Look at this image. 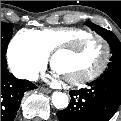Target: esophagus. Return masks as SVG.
<instances>
[{
    "label": "esophagus",
    "mask_w": 121,
    "mask_h": 121,
    "mask_svg": "<svg viewBox=\"0 0 121 121\" xmlns=\"http://www.w3.org/2000/svg\"><path fill=\"white\" fill-rule=\"evenodd\" d=\"M42 92H44V93H51V90L50 89H47V88H43V87H40L39 88Z\"/></svg>",
    "instance_id": "34e87169"
}]
</instances>
